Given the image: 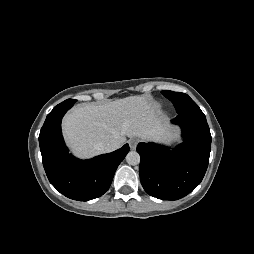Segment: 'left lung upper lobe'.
Returning a JSON list of instances; mask_svg holds the SVG:
<instances>
[{"label":"left lung upper lobe","mask_w":254,"mask_h":254,"mask_svg":"<svg viewBox=\"0 0 254 254\" xmlns=\"http://www.w3.org/2000/svg\"><path fill=\"white\" fill-rule=\"evenodd\" d=\"M162 94L174 104L178 115L196 114L205 116L199 106L187 94L168 90L162 91Z\"/></svg>","instance_id":"1"}]
</instances>
